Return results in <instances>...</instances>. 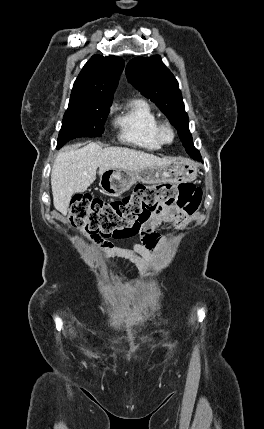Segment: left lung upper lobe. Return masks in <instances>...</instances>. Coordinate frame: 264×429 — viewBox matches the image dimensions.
Returning <instances> with one entry per match:
<instances>
[{
  "mask_svg": "<svg viewBox=\"0 0 264 429\" xmlns=\"http://www.w3.org/2000/svg\"><path fill=\"white\" fill-rule=\"evenodd\" d=\"M126 70L129 82L151 99L178 130L187 153L197 152L189 132V119L178 82L160 56L136 57L128 63Z\"/></svg>",
  "mask_w": 264,
  "mask_h": 429,
  "instance_id": "1",
  "label": "left lung upper lobe"
}]
</instances>
